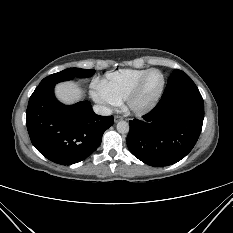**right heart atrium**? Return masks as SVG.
<instances>
[{"label": "right heart atrium", "instance_id": "d8ad5b80", "mask_svg": "<svg viewBox=\"0 0 233 233\" xmlns=\"http://www.w3.org/2000/svg\"><path fill=\"white\" fill-rule=\"evenodd\" d=\"M91 96L99 105H101L105 109L116 106L118 104V102L106 91V89L98 81L93 84Z\"/></svg>", "mask_w": 233, "mask_h": 233}]
</instances>
